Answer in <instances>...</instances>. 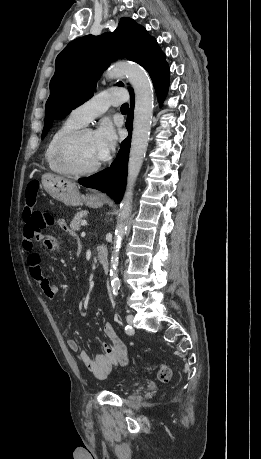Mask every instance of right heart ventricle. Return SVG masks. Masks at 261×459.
I'll list each match as a JSON object with an SVG mask.
<instances>
[{"instance_id": "obj_1", "label": "right heart ventricle", "mask_w": 261, "mask_h": 459, "mask_svg": "<svg viewBox=\"0 0 261 459\" xmlns=\"http://www.w3.org/2000/svg\"><path fill=\"white\" fill-rule=\"evenodd\" d=\"M83 125L79 124L78 122L74 121L72 118L68 117L65 121H63L59 126H57L54 131L49 136L47 141L45 151H44V159L48 166V168L56 173L59 174H67L57 163L56 161V148L63 136L67 133L82 127Z\"/></svg>"}]
</instances>
